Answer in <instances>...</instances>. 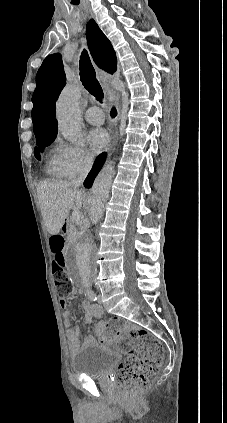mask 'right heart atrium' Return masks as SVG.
Instances as JSON below:
<instances>
[{
    "instance_id": "obj_1",
    "label": "right heart atrium",
    "mask_w": 227,
    "mask_h": 423,
    "mask_svg": "<svg viewBox=\"0 0 227 423\" xmlns=\"http://www.w3.org/2000/svg\"><path fill=\"white\" fill-rule=\"evenodd\" d=\"M56 158L60 174L67 179L89 172L94 164V157L85 146L62 140L58 141Z\"/></svg>"
}]
</instances>
